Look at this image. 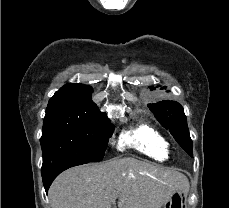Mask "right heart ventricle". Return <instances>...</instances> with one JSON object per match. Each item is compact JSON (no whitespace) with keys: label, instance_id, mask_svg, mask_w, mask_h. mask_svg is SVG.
Wrapping results in <instances>:
<instances>
[{"label":"right heart ventricle","instance_id":"1","mask_svg":"<svg viewBox=\"0 0 229 208\" xmlns=\"http://www.w3.org/2000/svg\"><path fill=\"white\" fill-rule=\"evenodd\" d=\"M120 150L136 152L155 162H166L171 155V145L165 135L157 128L140 123L125 130L118 141Z\"/></svg>","mask_w":229,"mask_h":208}]
</instances>
